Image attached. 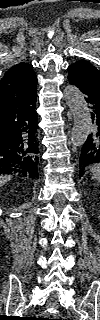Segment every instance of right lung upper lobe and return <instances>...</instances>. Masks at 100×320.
<instances>
[{"label": "right lung upper lobe", "instance_id": "obj_1", "mask_svg": "<svg viewBox=\"0 0 100 320\" xmlns=\"http://www.w3.org/2000/svg\"><path fill=\"white\" fill-rule=\"evenodd\" d=\"M37 78L33 66L21 62L10 68L0 81V103L27 96L36 88Z\"/></svg>", "mask_w": 100, "mask_h": 320}]
</instances>
